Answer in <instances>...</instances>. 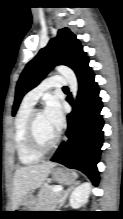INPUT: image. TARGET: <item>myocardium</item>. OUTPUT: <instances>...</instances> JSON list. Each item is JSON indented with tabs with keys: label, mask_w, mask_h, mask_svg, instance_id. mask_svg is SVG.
<instances>
[{
	"label": "myocardium",
	"mask_w": 123,
	"mask_h": 219,
	"mask_svg": "<svg viewBox=\"0 0 123 219\" xmlns=\"http://www.w3.org/2000/svg\"><path fill=\"white\" fill-rule=\"evenodd\" d=\"M42 112L41 110H33L29 116L27 124V141L30 149L37 155L43 156L51 152L60 141V134L58 133L55 139L47 146L40 143L36 133V118Z\"/></svg>",
	"instance_id": "1"
}]
</instances>
